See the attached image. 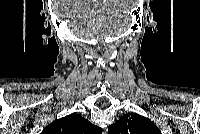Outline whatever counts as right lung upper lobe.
I'll list each match as a JSON object with an SVG mask.
<instances>
[{
	"label": "right lung upper lobe",
	"mask_w": 200,
	"mask_h": 134,
	"mask_svg": "<svg viewBox=\"0 0 200 134\" xmlns=\"http://www.w3.org/2000/svg\"><path fill=\"white\" fill-rule=\"evenodd\" d=\"M43 134H100L101 129L79 114L55 120L44 128Z\"/></svg>",
	"instance_id": "right-lung-upper-lobe-1"
}]
</instances>
